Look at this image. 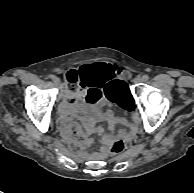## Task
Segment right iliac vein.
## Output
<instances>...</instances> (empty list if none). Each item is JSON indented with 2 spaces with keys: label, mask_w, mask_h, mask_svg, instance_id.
<instances>
[{
  "label": "right iliac vein",
  "mask_w": 194,
  "mask_h": 193,
  "mask_svg": "<svg viewBox=\"0 0 194 193\" xmlns=\"http://www.w3.org/2000/svg\"><path fill=\"white\" fill-rule=\"evenodd\" d=\"M54 82H55L56 85L61 86V83H60V79H59V78L56 77V78L54 79Z\"/></svg>",
  "instance_id": "1"
}]
</instances>
